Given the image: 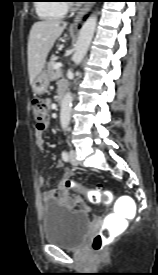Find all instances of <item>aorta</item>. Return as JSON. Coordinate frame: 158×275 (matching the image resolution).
Masks as SVG:
<instances>
[{
    "label": "aorta",
    "mask_w": 158,
    "mask_h": 275,
    "mask_svg": "<svg viewBox=\"0 0 158 275\" xmlns=\"http://www.w3.org/2000/svg\"><path fill=\"white\" fill-rule=\"evenodd\" d=\"M96 24H97V15L93 14L86 20V22L83 24L79 32L78 40L75 47V52L72 57V60L76 65H79L82 62L83 58L85 57L88 51L89 45L94 36ZM71 109H72V96H71V93H67L61 102V111H60V122L64 130L68 127L70 123Z\"/></svg>",
    "instance_id": "1"
}]
</instances>
